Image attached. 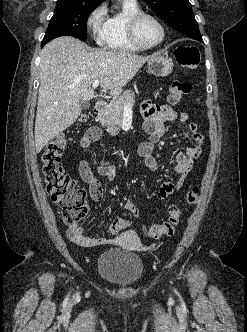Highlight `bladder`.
Instances as JSON below:
<instances>
[{"label":"bladder","mask_w":247,"mask_h":332,"mask_svg":"<svg viewBox=\"0 0 247 332\" xmlns=\"http://www.w3.org/2000/svg\"><path fill=\"white\" fill-rule=\"evenodd\" d=\"M97 271L99 276L110 284L130 287L141 279L144 264L141 257L134 252L110 248L100 254Z\"/></svg>","instance_id":"obj_1"}]
</instances>
